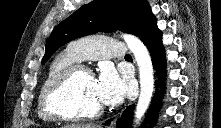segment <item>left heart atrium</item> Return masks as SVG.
I'll return each mask as SVG.
<instances>
[{"label": "left heart atrium", "instance_id": "39dd6f15", "mask_svg": "<svg viewBox=\"0 0 221 128\" xmlns=\"http://www.w3.org/2000/svg\"><path fill=\"white\" fill-rule=\"evenodd\" d=\"M94 85L100 102L108 106L119 104L124 98L125 90L132 86L128 79L121 81L116 72L108 66L102 68L100 76L94 80Z\"/></svg>", "mask_w": 221, "mask_h": 128}]
</instances>
